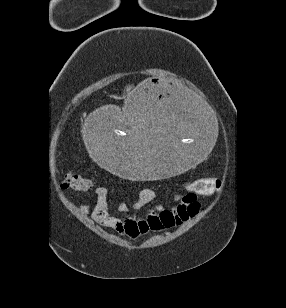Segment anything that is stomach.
<instances>
[{
  "label": "stomach",
  "mask_w": 286,
  "mask_h": 308,
  "mask_svg": "<svg viewBox=\"0 0 286 308\" xmlns=\"http://www.w3.org/2000/svg\"><path fill=\"white\" fill-rule=\"evenodd\" d=\"M178 87V81L148 78L130 92L124 113L110 103L90 109L82 127L91 161L127 182H164L200 168L219 130L215 112H208V100Z\"/></svg>",
  "instance_id": "1"
}]
</instances>
